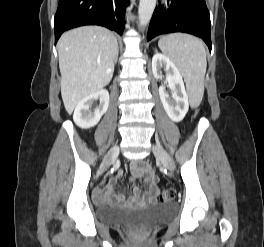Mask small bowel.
<instances>
[{"label": "small bowel", "mask_w": 264, "mask_h": 247, "mask_svg": "<svg viewBox=\"0 0 264 247\" xmlns=\"http://www.w3.org/2000/svg\"><path fill=\"white\" fill-rule=\"evenodd\" d=\"M131 172L133 178H143L144 181L148 184V191L145 195H142L139 189L135 188L134 196L131 198L132 202H139L142 200L153 201L156 197L159 188H158V178L155 173L152 171L150 166L144 161H136L131 164ZM123 172H119L115 178L104 188L97 189L94 193V198L98 202H123L125 196L123 194L114 195V191L117 183L122 178Z\"/></svg>", "instance_id": "small-bowel-1"}]
</instances>
